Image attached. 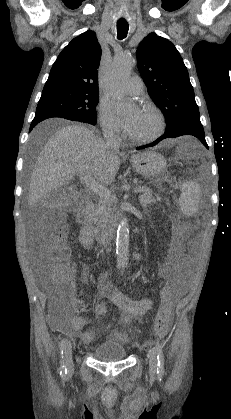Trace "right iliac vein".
<instances>
[{"label":"right iliac vein","mask_w":231,"mask_h":419,"mask_svg":"<svg viewBox=\"0 0 231 419\" xmlns=\"http://www.w3.org/2000/svg\"><path fill=\"white\" fill-rule=\"evenodd\" d=\"M64 354H65V361L66 366L69 371L73 370V358H72V344L70 341H67L64 348Z\"/></svg>","instance_id":"right-iliac-vein-1"}]
</instances>
